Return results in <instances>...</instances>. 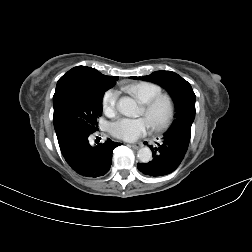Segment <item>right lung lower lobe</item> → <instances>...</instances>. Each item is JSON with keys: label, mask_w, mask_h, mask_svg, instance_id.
Returning <instances> with one entry per match:
<instances>
[{"label": "right lung lower lobe", "mask_w": 252, "mask_h": 252, "mask_svg": "<svg viewBox=\"0 0 252 252\" xmlns=\"http://www.w3.org/2000/svg\"><path fill=\"white\" fill-rule=\"evenodd\" d=\"M93 132L69 130L57 135L63 157L70 167L85 177L105 175L112 163L113 150L121 145L110 139L97 146H91L88 137Z\"/></svg>", "instance_id": "obj_1"}]
</instances>
